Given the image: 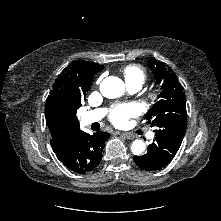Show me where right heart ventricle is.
I'll return each instance as SVG.
<instances>
[{
	"mask_svg": "<svg viewBox=\"0 0 221 221\" xmlns=\"http://www.w3.org/2000/svg\"><path fill=\"white\" fill-rule=\"evenodd\" d=\"M125 79L126 80H139L141 82L145 79L144 71L138 66H128L125 71Z\"/></svg>",
	"mask_w": 221,
	"mask_h": 221,
	"instance_id": "e07e8e85",
	"label": "right heart ventricle"
}]
</instances>
